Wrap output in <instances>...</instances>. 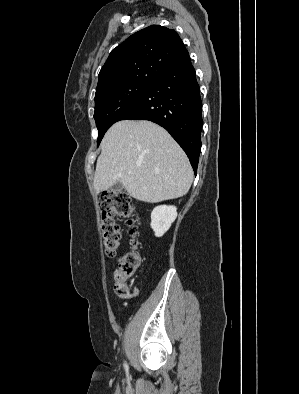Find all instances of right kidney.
Here are the masks:
<instances>
[{
  "mask_svg": "<svg viewBox=\"0 0 299 394\" xmlns=\"http://www.w3.org/2000/svg\"><path fill=\"white\" fill-rule=\"evenodd\" d=\"M177 218L175 206L159 205L151 213V228L156 237H162Z\"/></svg>",
  "mask_w": 299,
  "mask_h": 394,
  "instance_id": "obj_1",
  "label": "right kidney"
}]
</instances>
